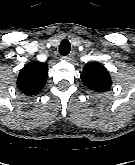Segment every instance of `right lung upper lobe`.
<instances>
[{"mask_svg": "<svg viewBox=\"0 0 135 165\" xmlns=\"http://www.w3.org/2000/svg\"><path fill=\"white\" fill-rule=\"evenodd\" d=\"M47 77V65L33 61L20 70L17 86L24 94L35 95L45 86Z\"/></svg>", "mask_w": 135, "mask_h": 165, "instance_id": "1", "label": "right lung upper lobe"}]
</instances>
